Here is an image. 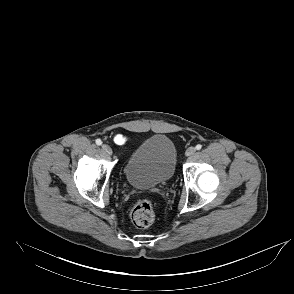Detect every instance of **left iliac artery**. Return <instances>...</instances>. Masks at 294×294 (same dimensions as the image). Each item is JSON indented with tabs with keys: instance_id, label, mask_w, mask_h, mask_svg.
Wrapping results in <instances>:
<instances>
[{
	"instance_id": "left-iliac-artery-1",
	"label": "left iliac artery",
	"mask_w": 294,
	"mask_h": 294,
	"mask_svg": "<svg viewBox=\"0 0 294 294\" xmlns=\"http://www.w3.org/2000/svg\"><path fill=\"white\" fill-rule=\"evenodd\" d=\"M201 148H202V145L201 144L196 145V149L197 150H200Z\"/></svg>"
}]
</instances>
